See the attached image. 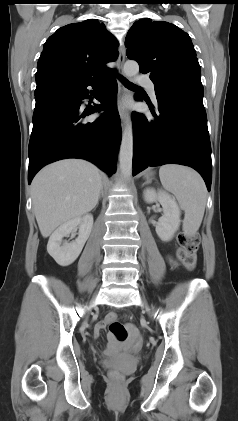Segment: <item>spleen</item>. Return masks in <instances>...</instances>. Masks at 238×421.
I'll return each mask as SVG.
<instances>
[{"instance_id":"3e777b00","label":"spleen","mask_w":238,"mask_h":421,"mask_svg":"<svg viewBox=\"0 0 238 421\" xmlns=\"http://www.w3.org/2000/svg\"><path fill=\"white\" fill-rule=\"evenodd\" d=\"M159 177L163 187L174 194L185 212L183 229L193 235L199 229L206 206V186L201 176L193 169L176 164L160 167Z\"/></svg>"}]
</instances>
